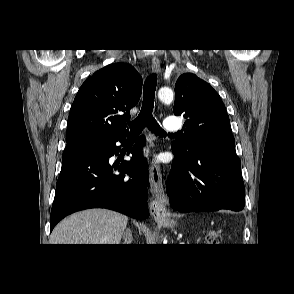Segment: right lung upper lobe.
Segmentation results:
<instances>
[{
	"label": "right lung upper lobe",
	"instance_id": "obj_1",
	"mask_svg": "<svg viewBox=\"0 0 294 294\" xmlns=\"http://www.w3.org/2000/svg\"><path fill=\"white\" fill-rule=\"evenodd\" d=\"M141 87V76L127 63L110 64L95 72L80 87L72 104L67 144L127 134L126 121L140 99Z\"/></svg>",
	"mask_w": 294,
	"mask_h": 294
}]
</instances>
